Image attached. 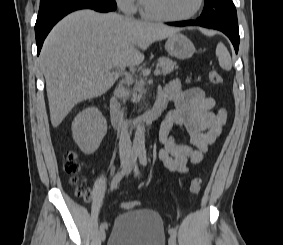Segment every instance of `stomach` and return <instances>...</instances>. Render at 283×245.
Here are the masks:
<instances>
[{"mask_svg":"<svg viewBox=\"0 0 283 245\" xmlns=\"http://www.w3.org/2000/svg\"><path fill=\"white\" fill-rule=\"evenodd\" d=\"M165 49L169 55L181 60L189 59L195 53V47L190 39L179 32L168 37Z\"/></svg>","mask_w":283,"mask_h":245,"instance_id":"obj_1","label":"stomach"}]
</instances>
